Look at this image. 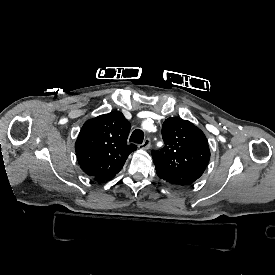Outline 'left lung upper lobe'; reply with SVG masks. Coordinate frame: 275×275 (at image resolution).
<instances>
[{"mask_svg": "<svg viewBox=\"0 0 275 275\" xmlns=\"http://www.w3.org/2000/svg\"><path fill=\"white\" fill-rule=\"evenodd\" d=\"M161 133L165 146L153 151L155 167L176 185H190L203 174L210 159L204 133L193 123L174 117L164 121Z\"/></svg>", "mask_w": 275, "mask_h": 275, "instance_id": "5c2ea615", "label": "left lung upper lobe"}]
</instances>
